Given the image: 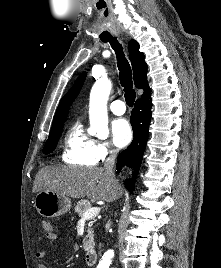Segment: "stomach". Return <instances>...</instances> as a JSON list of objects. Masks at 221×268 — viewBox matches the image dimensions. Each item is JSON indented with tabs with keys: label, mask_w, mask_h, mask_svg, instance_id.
Returning a JSON list of instances; mask_svg holds the SVG:
<instances>
[{
	"label": "stomach",
	"mask_w": 221,
	"mask_h": 268,
	"mask_svg": "<svg viewBox=\"0 0 221 268\" xmlns=\"http://www.w3.org/2000/svg\"><path fill=\"white\" fill-rule=\"evenodd\" d=\"M71 199L51 191H40L34 199V206L43 217L54 218L71 209Z\"/></svg>",
	"instance_id": "obj_1"
}]
</instances>
